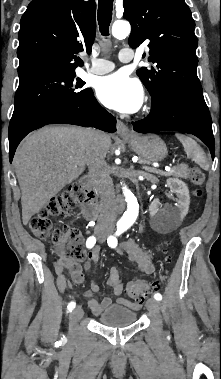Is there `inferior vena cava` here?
<instances>
[{
	"label": "inferior vena cava",
	"instance_id": "602c4592",
	"mask_svg": "<svg viewBox=\"0 0 221 379\" xmlns=\"http://www.w3.org/2000/svg\"><path fill=\"white\" fill-rule=\"evenodd\" d=\"M86 136L88 139L86 164L89 169V176L94 181L101 197L98 228L113 230L116 221L115 191L107 163L99 145L100 132L88 130Z\"/></svg>",
	"mask_w": 221,
	"mask_h": 379
}]
</instances>
